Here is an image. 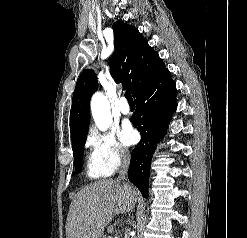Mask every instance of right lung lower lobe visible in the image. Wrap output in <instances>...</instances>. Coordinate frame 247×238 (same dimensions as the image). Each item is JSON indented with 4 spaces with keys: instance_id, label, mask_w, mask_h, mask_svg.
I'll return each mask as SVG.
<instances>
[{
    "instance_id": "98d812e1",
    "label": "right lung lower lobe",
    "mask_w": 247,
    "mask_h": 238,
    "mask_svg": "<svg viewBox=\"0 0 247 238\" xmlns=\"http://www.w3.org/2000/svg\"><path fill=\"white\" fill-rule=\"evenodd\" d=\"M175 94L176 85L165 69L135 97L137 110L132 123L140 131L141 141L132 151L128 178L144 197L148 196L150 162L158 137L166 131L177 107Z\"/></svg>"
}]
</instances>
